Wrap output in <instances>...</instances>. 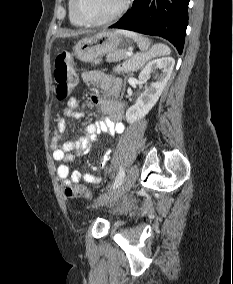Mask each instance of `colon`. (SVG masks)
<instances>
[{"instance_id": "1", "label": "colon", "mask_w": 233, "mask_h": 284, "mask_svg": "<svg viewBox=\"0 0 233 284\" xmlns=\"http://www.w3.org/2000/svg\"><path fill=\"white\" fill-rule=\"evenodd\" d=\"M169 52L170 50L167 45L156 44L148 51L134 55L131 59L120 65L118 70L122 72L138 70L150 60L167 56ZM71 62V54L68 52L59 53L55 59L56 97L59 101H64L69 97L77 85L78 77ZM65 193L68 197H92L89 189L83 185L67 187Z\"/></svg>"}]
</instances>
